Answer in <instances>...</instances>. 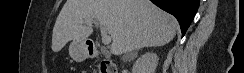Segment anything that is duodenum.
Here are the masks:
<instances>
[{
  "mask_svg": "<svg viewBox=\"0 0 244 73\" xmlns=\"http://www.w3.org/2000/svg\"><path fill=\"white\" fill-rule=\"evenodd\" d=\"M101 52L102 49L97 45L90 44L86 46V54L89 58H96L100 56ZM100 73H116L115 66L108 60H103Z\"/></svg>",
  "mask_w": 244,
  "mask_h": 73,
  "instance_id": "1",
  "label": "duodenum"
}]
</instances>
